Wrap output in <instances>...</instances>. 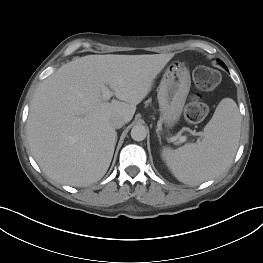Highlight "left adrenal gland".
Instances as JSON below:
<instances>
[{"instance_id":"1","label":"left adrenal gland","mask_w":263,"mask_h":263,"mask_svg":"<svg viewBox=\"0 0 263 263\" xmlns=\"http://www.w3.org/2000/svg\"><path fill=\"white\" fill-rule=\"evenodd\" d=\"M156 133H157V136H158V138H159V142L161 143V136H160V133H159V131H158V130H156Z\"/></svg>"}]
</instances>
